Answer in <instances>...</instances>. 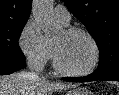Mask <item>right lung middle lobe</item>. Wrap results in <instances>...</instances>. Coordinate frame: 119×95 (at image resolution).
I'll return each mask as SVG.
<instances>
[{
  "label": "right lung middle lobe",
  "mask_w": 119,
  "mask_h": 95,
  "mask_svg": "<svg viewBox=\"0 0 119 95\" xmlns=\"http://www.w3.org/2000/svg\"><path fill=\"white\" fill-rule=\"evenodd\" d=\"M26 22L0 26V60L25 61L18 40Z\"/></svg>",
  "instance_id": "dd1d6c3e"
}]
</instances>
